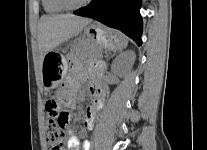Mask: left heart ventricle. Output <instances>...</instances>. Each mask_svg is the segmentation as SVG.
<instances>
[{
    "mask_svg": "<svg viewBox=\"0 0 207 150\" xmlns=\"http://www.w3.org/2000/svg\"><path fill=\"white\" fill-rule=\"evenodd\" d=\"M71 4H78L82 2L83 0H68Z\"/></svg>",
    "mask_w": 207,
    "mask_h": 150,
    "instance_id": "left-heart-ventricle-1",
    "label": "left heart ventricle"
}]
</instances>
